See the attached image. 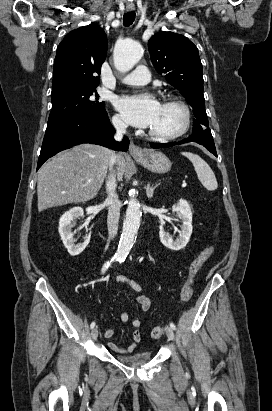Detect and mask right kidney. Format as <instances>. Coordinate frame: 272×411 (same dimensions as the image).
I'll list each match as a JSON object with an SVG mask.
<instances>
[{
    "mask_svg": "<svg viewBox=\"0 0 272 411\" xmlns=\"http://www.w3.org/2000/svg\"><path fill=\"white\" fill-rule=\"evenodd\" d=\"M84 212L81 207L71 208L69 211L65 212L59 220V234L61 240L71 256L79 255L87 247L90 242V235L85 238L84 242L81 244H76L74 239V234L71 231L75 220L83 217Z\"/></svg>",
    "mask_w": 272,
    "mask_h": 411,
    "instance_id": "1",
    "label": "right kidney"
}]
</instances>
